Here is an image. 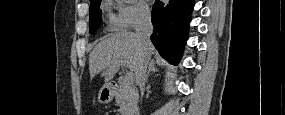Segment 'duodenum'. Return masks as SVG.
Segmentation results:
<instances>
[{
	"instance_id": "1",
	"label": "duodenum",
	"mask_w": 285,
	"mask_h": 115,
	"mask_svg": "<svg viewBox=\"0 0 285 115\" xmlns=\"http://www.w3.org/2000/svg\"><path fill=\"white\" fill-rule=\"evenodd\" d=\"M111 87H112V88H116V87H117V84L113 83V84H111Z\"/></svg>"
}]
</instances>
